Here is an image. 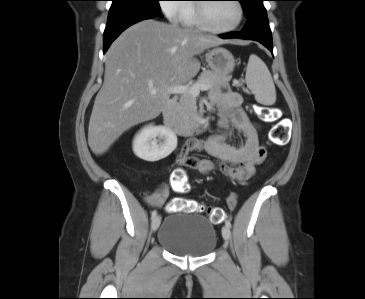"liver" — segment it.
Masks as SVG:
<instances>
[{
    "mask_svg": "<svg viewBox=\"0 0 365 299\" xmlns=\"http://www.w3.org/2000/svg\"><path fill=\"white\" fill-rule=\"evenodd\" d=\"M212 35L155 20L126 29L106 53L104 83L88 127V144L101 155L128 129L160 115L167 89L185 85L200 70L195 55L224 44ZM156 89L151 94L150 89Z\"/></svg>",
    "mask_w": 365,
    "mask_h": 299,
    "instance_id": "6515ba94",
    "label": "liver"
}]
</instances>
